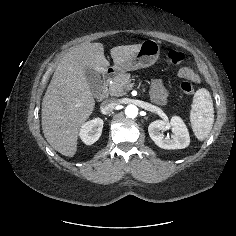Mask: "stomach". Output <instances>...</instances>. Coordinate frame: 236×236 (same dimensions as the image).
<instances>
[{"label":"stomach","mask_w":236,"mask_h":236,"mask_svg":"<svg viewBox=\"0 0 236 236\" xmlns=\"http://www.w3.org/2000/svg\"><path fill=\"white\" fill-rule=\"evenodd\" d=\"M160 45L157 41L149 39L141 43L140 49L129 60L122 64L114 65L113 70L116 74L147 68L153 65L159 58Z\"/></svg>","instance_id":"1"}]
</instances>
